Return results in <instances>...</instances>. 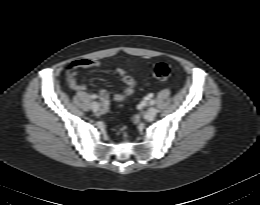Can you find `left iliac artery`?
I'll list each match as a JSON object with an SVG mask.
<instances>
[{
  "label": "left iliac artery",
  "mask_w": 260,
  "mask_h": 205,
  "mask_svg": "<svg viewBox=\"0 0 260 205\" xmlns=\"http://www.w3.org/2000/svg\"><path fill=\"white\" fill-rule=\"evenodd\" d=\"M149 103H150V105H154L155 104V100L151 99Z\"/></svg>",
  "instance_id": "1"
}]
</instances>
